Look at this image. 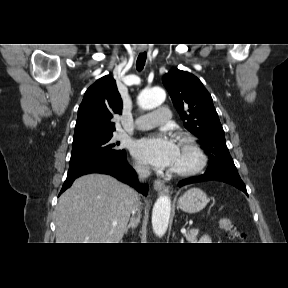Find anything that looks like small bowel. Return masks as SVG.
Returning a JSON list of instances; mask_svg holds the SVG:
<instances>
[{"instance_id": "obj_1", "label": "small bowel", "mask_w": 288, "mask_h": 288, "mask_svg": "<svg viewBox=\"0 0 288 288\" xmlns=\"http://www.w3.org/2000/svg\"><path fill=\"white\" fill-rule=\"evenodd\" d=\"M201 241H202V243H209V242H211V237L209 235H204L201 238Z\"/></svg>"}]
</instances>
